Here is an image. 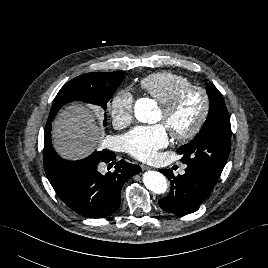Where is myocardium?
I'll list each match as a JSON object with an SVG mask.
<instances>
[{
  "instance_id": "f54148a6",
  "label": "myocardium",
  "mask_w": 268,
  "mask_h": 268,
  "mask_svg": "<svg viewBox=\"0 0 268 268\" xmlns=\"http://www.w3.org/2000/svg\"><path fill=\"white\" fill-rule=\"evenodd\" d=\"M198 92L203 101L202 111L192 125V127L181 134L170 133L172 138L179 143H186L195 138L206 123L211 109V100L208 91L199 85H187L180 88L165 104L161 105V110L165 118L173 115L177 107L180 105L182 99L187 93Z\"/></svg>"
}]
</instances>
